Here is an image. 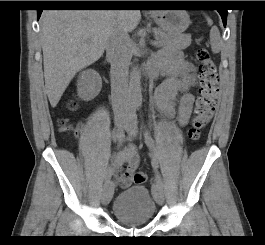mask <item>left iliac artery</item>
<instances>
[{
	"mask_svg": "<svg viewBox=\"0 0 265 245\" xmlns=\"http://www.w3.org/2000/svg\"><path fill=\"white\" fill-rule=\"evenodd\" d=\"M143 133H144L145 143L149 147V149L151 150L152 166L156 170L155 183L152 184V191H155L156 187H163L162 178H161L160 174L157 171L158 162H157V157H156V154H155L156 147H155L154 140L151 138V136L149 135V133L145 129V127H144V132Z\"/></svg>",
	"mask_w": 265,
	"mask_h": 245,
	"instance_id": "left-iliac-artery-1",
	"label": "left iliac artery"
}]
</instances>
